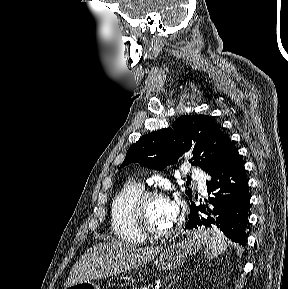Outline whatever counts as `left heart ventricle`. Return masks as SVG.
I'll return each mask as SVG.
<instances>
[{
    "instance_id": "1",
    "label": "left heart ventricle",
    "mask_w": 288,
    "mask_h": 289,
    "mask_svg": "<svg viewBox=\"0 0 288 289\" xmlns=\"http://www.w3.org/2000/svg\"><path fill=\"white\" fill-rule=\"evenodd\" d=\"M144 215L148 225L154 230L163 231L172 225L168 219L165 199L149 201L145 206Z\"/></svg>"
}]
</instances>
